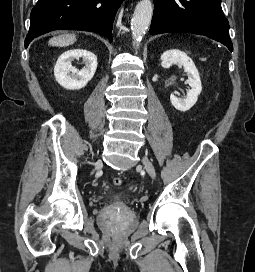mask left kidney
<instances>
[{"label": "left kidney", "instance_id": "obj_1", "mask_svg": "<svg viewBox=\"0 0 255 272\" xmlns=\"http://www.w3.org/2000/svg\"><path fill=\"white\" fill-rule=\"evenodd\" d=\"M173 64L183 67L188 75L186 83L190 86L186 97L178 98L174 94L170 95L172 105L179 111H188L196 103L202 90L199 72L190 57L186 53L173 49L167 50L161 55V66L170 68Z\"/></svg>", "mask_w": 255, "mask_h": 272}]
</instances>
